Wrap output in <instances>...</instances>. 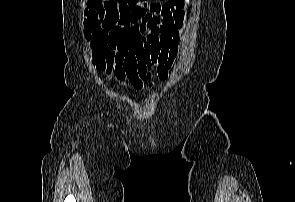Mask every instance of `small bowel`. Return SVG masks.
<instances>
[{"label": "small bowel", "instance_id": "c3829d8e", "mask_svg": "<svg viewBox=\"0 0 295 202\" xmlns=\"http://www.w3.org/2000/svg\"><path fill=\"white\" fill-rule=\"evenodd\" d=\"M186 5L187 0H138L131 12L119 16L108 14L101 0H86L89 21L112 20L106 44L93 49L94 62L110 63L115 73L136 89L152 78L150 69L156 65L158 77L164 79L177 55ZM106 66L101 63L98 67Z\"/></svg>", "mask_w": 295, "mask_h": 202}]
</instances>
